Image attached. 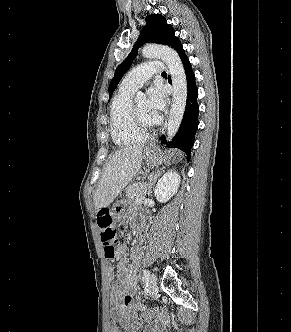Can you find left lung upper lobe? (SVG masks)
Returning <instances> with one entry per match:
<instances>
[{"label":"left lung upper lobe","mask_w":291,"mask_h":332,"mask_svg":"<svg viewBox=\"0 0 291 332\" xmlns=\"http://www.w3.org/2000/svg\"><path fill=\"white\" fill-rule=\"evenodd\" d=\"M146 42L168 45L177 52L183 48L179 38L175 36L173 27L170 24H167L165 17L160 14H152L147 16L146 25L143 27L131 52L116 68L114 78L111 80L109 85V97L116 89L127 69L132 65V62L137 55L138 47H141Z\"/></svg>","instance_id":"1"}]
</instances>
